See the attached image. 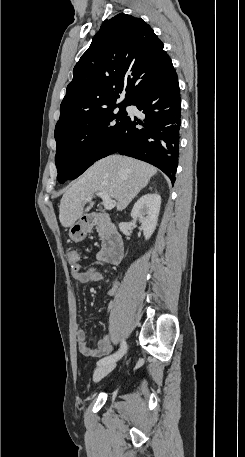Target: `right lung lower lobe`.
Wrapping results in <instances>:
<instances>
[{
	"label": "right lung lower lobe",
	"instance_id": "right-lung-lower-lobe-1",
	"mask_svg": "<svg viewBox=\"0 0 245 457\" xmlns=\"http://www.w3.org/2000/svg\"><path fill=\"white\" fill-rule=\"evenodd\" d=\"M128 105H136L146 118H125L111 154L118 152L151 163L174 183L181 118L180 89L175 70L145 82Z\"/></svg>",
	"mask_w": 245,
	"mask_h": 457
}]
</instances>
